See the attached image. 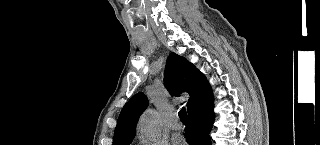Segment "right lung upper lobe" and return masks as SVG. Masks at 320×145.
I'll return each instance as SVG.
<instances>
[{
  "label": "right lung upper lobe",
  "mask_w": 320,
  "mask_h": 145,
  "mask_svg": "<svg viewBox=\"0 0 320 145\" xmlns=\"http://www.w3.org/2000/svg\"><path fill=\"white\" fill-rule=\"evenodd\" d=\"M164 84L174 95L181 92L189 93L188 112L202 101L210 86L203 73L185 58L173 52L167 59ZM147 104L148 99L142 92L134 95L126 103L118 118L113 145H128L132 141L136 122Z\"/></svg>",
  "instance_id": "cb5924a9"
}]
</instances>
